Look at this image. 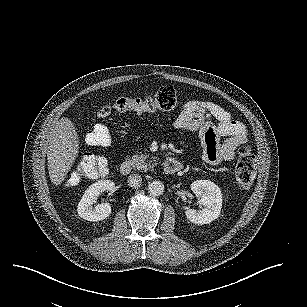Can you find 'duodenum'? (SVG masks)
<instances>
[{"instance_id":"obj_1","label":"duodenum","mask_w":307,"mask_h":307,"mask_svg":"<svg viewBox=\"0 0 307 307\" xmlns=\"http://www.w3.org/2000/svg\"><path fill=\"white\" fill-rule=\"evenodd\" d=\"M182 163L173 159H167L163 164V171L165 174L173 175L182 169ZM132 171V164L130 161L125 160L120 165V173L122 175H129Z\"/></svg>"}]
</instances>
